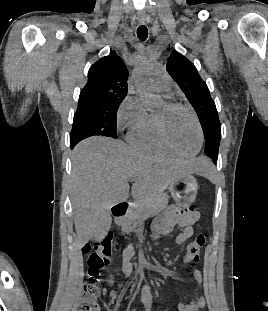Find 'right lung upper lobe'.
Instances as JSON below:
<instances>
[{
	"label": "right lung upper lobe",
	"instance_id": "right-lung-upper-lobe-1",
	"mask_svg": "<svg viewBox=\"0 0 268 311\" xmlns=\"http://www.w3.org/2000/svg\"><path fill=\"white\" fill-rule=\"evenodd\" d=\"M128 70L116 54L111 51L89 69L88 82L80 97H99L106 100H124L127 95Z\"/></svg>",
	"mask_w": 268,
	"mask_h": 311
}]
</instances>
